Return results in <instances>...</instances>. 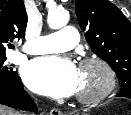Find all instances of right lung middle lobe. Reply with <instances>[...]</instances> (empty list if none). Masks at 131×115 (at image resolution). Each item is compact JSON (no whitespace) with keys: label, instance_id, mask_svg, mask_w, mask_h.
I'll use <instances>...</instances> for the list:
<instances>
[{"label":"right lung middle lobe","instance_id":"obj_1","mask_svg":"<svg viewBox=\"0 0 131 115\" xmlns=\"http://www.w3.org/2000/svg\"><path fill=\"white\" fill-rule=\"evenodd\" d=\"M5 61V53H0V85L7 86L18 80L19 77L12 67L6 65Z\"/></svg>","mask_w":131,"mask_h":115}]
</instances>
